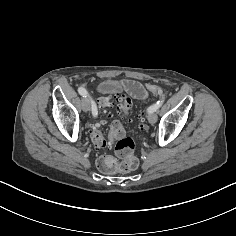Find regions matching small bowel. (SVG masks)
I'll return each instance as SVG.
<instances>
[{"label": "small bowel", "instance_id": "1", "mask_svg": "<svg viewBox=\"0 0 236 236\" xmlns=\"http://www.w3.org/2000/svg\"><path fill=\"white\" fill-rule=\"evenodd\" d=\"M133 84H137L139 85L138 83L136 82H132V81H129V80H124L123 81V85L125 87V89L130 93L132 94L134 97L136 98H146L147 97V93L143 90V89H138L137 91H131L130 89V86H132Z\"/></svg>", "mask_w": 236, "mask_h": 236}]
</instances>
